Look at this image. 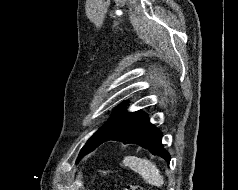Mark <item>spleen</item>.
Returning a JSON list of instances; mask_svg holds the SVG:
<instances>
[{
  "label": "spleen",
  "instance_id": "3e777b00",
  "mask_svg": "<svg viewBox=\"0 0 238 190\" xmlns=\"http://www.w3.org/2000/svg\"><path fill=\"white\" fill-rule=\"evenodd\" d=\"M124 166L142 176L144 181L150 185L161 187L164 184V178L154 163L147 159L127 156L123 160Z\"/></svg>",
  "mask_w": 238,
  "mask_h": 190
}]
</instances>
